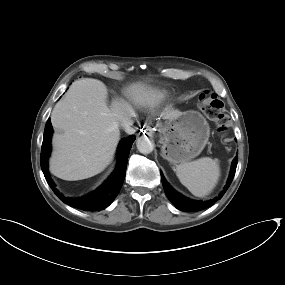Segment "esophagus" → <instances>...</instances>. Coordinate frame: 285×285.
Listing matches in <instances>:
<instances>
[{"label":"esophagus","mask_w":285,"mask_h":285,"mask_svg":"<svg viewBox=\"0 0 285 285\" xmlns=\"http://www.w3.org/2000/svg\"><path fill=\"white\" fill-rule=\"evenodd\" d=\"M146 131H147V134H148L149 136H151V135H152V133H153L152 128H151V127H149V126H147V127H146Z\"/></svg>","instance_id":"1"}]
</instances>
